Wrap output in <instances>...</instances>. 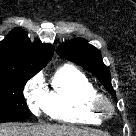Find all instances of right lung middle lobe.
I'll return each instance as SVG.
<instances>
[{
    "label": "right lung middle lobe",
    "mask_w": 136,
    "mask_h": 136,
    "mask_svg": "<svg viewBox=\"0 0 136 136\" xmlns=\"http://www.w3.org/2000/svg\"><path fill=\"white\" fill-rule=\"evenodd\" d=\"M33 76L22 73L0 76V123L21 121L30 116L23 89L25 83Z\"/></svg>",
    "instance_id": "1"
}]
</instances>
